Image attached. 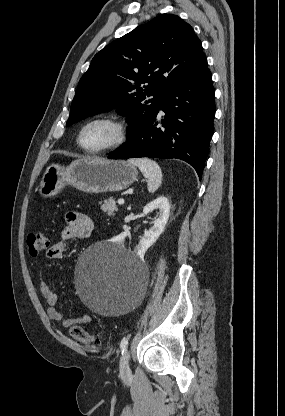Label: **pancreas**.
I'll return each mask as SVG.
<instances>
[{
	"label": "pancreas",
	"instance_id": "1",
	"mask_svg": "<svg viewBox=\"0 0 285 416\" xmlns=\"http://www.w3.org/2000/svg\"><path fill=\"white\" fill-rule=\"evenodd\" d=\"M98 204H100L103 212H107L108 216H115L114 212H118L115 198H109V200H104V204H102V202H98Z\"/></svg>",
	"mask_w": 285,
	"mask_h": 416
}]
</instances>
